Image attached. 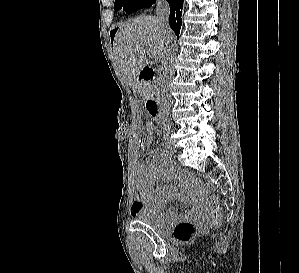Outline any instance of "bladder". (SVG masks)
I'll use <instances>...</instances> for the list:
<instances>
[{"label": "bladder", "instance_id": "bladder-1", "mask_svg": "<svg viewBox=\"0 0 299 273\" xmlns=\"http://www.w3.org/2000/svg\"><path fill=\"white\" fill-rule=\"evenodd\" d=\"M175 219L174 215L159 216L148 210H143L137 215V220L157 232L164 231Z\"/></svg>", "mask_w": 299, "mask_h": 273}]
</instances>
